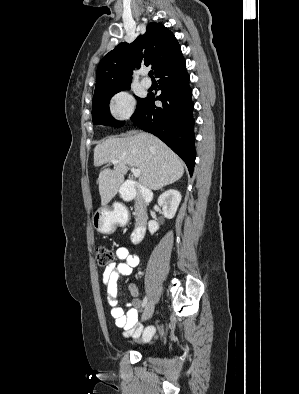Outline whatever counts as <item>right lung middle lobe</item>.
<instances>
[{"label": "right lung middle lobe", "mask_w": 299, "mask_h": 394, "mask_svg": "<svg viewBox=\"0 0 299 394\" xmlns=\"http://www.w3.org/2000/svg\"><path fill=\"white\" fill-rule=\"evenodd\" d=\"M125 89H130V85L94 93L92 101V118L94 124L109 125L117 128L124 124V122L117 121L111 116L109 111V101L114 94ZM136 99L138 100V108L144 99L139 97H136Z\"/></svg>", "instance_id": "right-lung-middle-lobe-1"}]
</instances>
